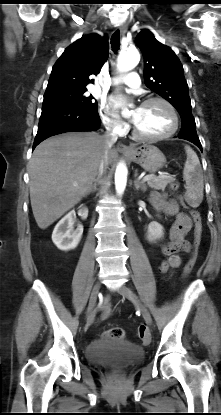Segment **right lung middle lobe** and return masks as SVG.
Returning <instances> with one entry per match:
<instances>
[{
    "label": "right lung middle lobe",
    "instance_id": "1",
    "mask_svg": "<svg viewBox=\"0 0 221 415\" xmlns=\"http://www.w3.org/2000/svg\"><path fill=\"white\" fill-rule=\"evenodd\" d=\"M87 89L61 90L44 95L43 103H64L82 107L91 111H97V102L92 95L87 96Z\"/></svg>",
    "mask_w": 221,
    "mask_h": 415
}]
</instances>
